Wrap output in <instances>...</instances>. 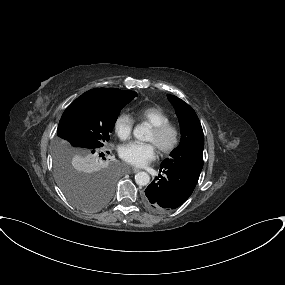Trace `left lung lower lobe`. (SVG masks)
<instances>
[{"instance_id": "1", "label": "left lung lower lobe", "mask_w": 285, "mask_h": 285, "mask_svg": "<svg viewBox=\"0 0 285 285\" xmlns=\"http://www.w3.org/2000/svg\"><path fill=\"white\" fill-rule=\"evenodd\" d=\"M160 172L146 189L144 204L155 212H167L181 206L192 194L197 180L184 172L160 166Z\"/></svg>"}]
</instances>
